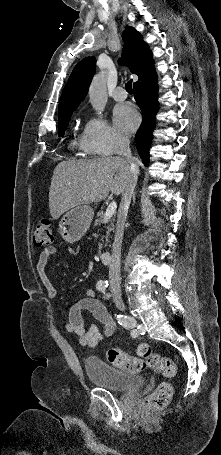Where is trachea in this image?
I'll use <instances>...</instances> for the list:
<instances>
[{"label": "trachea", "instance_id": "obj_1", "mask_svg": "<svg viewBox=\"0 0 221 455\" xmlns=\"http://www.w3.org/2000/svg\"><path fill=\"white\" fill-rule=\"evenodd\" d=\"M125 89L128 93H133V89H132V80L128 81L126 84H125Z\"/></svg>", "mask_w": 221, "mask_h": 455}]
</instances>
